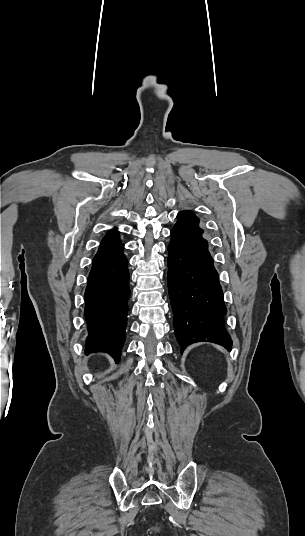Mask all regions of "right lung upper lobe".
<instances>
[{
	"label": "right lung upper lobe",
	"instance_id": "obj_1",
	"mask_svg": "<svg viewBox=\"0 0 305 536\" xmlns=\"http://www.w3.org/2000/svg\"><path fill=\"white\" fill-rule=\"evenodd\" d=\"M121 244L122 243L120 242V239H119V236H118V231L116 229H114V230L110 231L103 238V240L101 241V245L99 247L98 252L104 251V250H107V249H110V248H113V247H116V246H119Z\"/></svg>",
	"mask_w": 305,
	"mask_h": 536
}]
</instances>
